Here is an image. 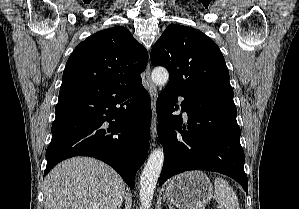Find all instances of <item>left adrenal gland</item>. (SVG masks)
Listing matches in <instances>:
<instances>
[{"instance_id": "a2214340", "label": "left adrenal gland", "mask_w": 299, "mask_h": 209, "mask_svg": "<svg viewBox=\"0 0 299 209\" xmlns=\"http://www.w3.org/2000/svg\"><path fill=\"white\" fill-rule=\"evenodd\" d=\"M169 209H175V208H174V206H172V205H169Z\"/></svg>"}]
</instances>
